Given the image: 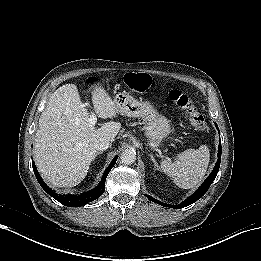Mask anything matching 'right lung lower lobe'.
Wrapping results in <instances>:
<instances>
[{"label": "right lung lower lobe", "mask_w": 261, "mask_h": 261, "mask_svg": "<svg viewBox=\"0 0 261 261\" xmlns=\"http://www.w3.org/2000/svg\"><path fill=\"white\" fill-rule=\"evenodd\" d=\"M118 157V156H117ZM117 157L114 158V160L112 161V163L108 166V168L105 170L103 177L100 181V184L93 190L81 194V195H59L57 193H55L54 191H52L42 180V178L40 177L36 166L34 165V163H32L33 166V170H34V174L39 182V184L41 185V187L49 194L51 195L54 199H56L57 201H59L60 203H62L65 206H70V207H74V206H82L85 205L89 202H92L94 200H96L97 198H99L105 191V180L107 175L109 174L111 168L115 165Z\"/></svg>", "instance_id": "98d812e1"}]
</instances>
